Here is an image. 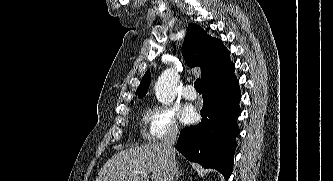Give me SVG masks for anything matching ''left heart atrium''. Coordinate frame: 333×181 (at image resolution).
Wrapping results in <instances>:
<instances>
[{
  "label": "left heart atrium",
  "mask_w": 333,
  "mask_h": 181,
  "mask_svg": "<svg viewBox=\"0 0 333 181\" xmlns=\"http://www.w3.org/2000/svg\"><path fill=\"white\" fill-rule=\"evenodd\" d=\"M195 118V111L192 106L186 105L183 107L180 113V119L184 123H190Z\"/></svg>",
  "instance_id": "left-heart-atrium-1"
}]
</instances>
